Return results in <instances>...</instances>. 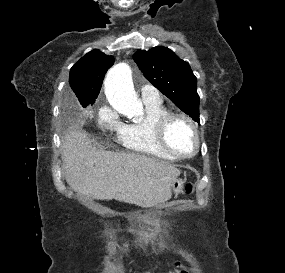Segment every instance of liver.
I'll return each mask as SVG.
<instances>
[{"label": "liver", "mask_w": 285, "mask_h": 273, "mask_svg": "<svg viewBox=\"0 0 285 273\" xmlns=\"http://www.w3.org/2000/svg\"><path fill=\"white\" fill-rule=\"evenodd\" d=\"M61 158L66 182L75 192L147 208L169 200L172 182L180 175L175 166L150 156L99 150L78 129L63 137Z\"/></svg>", "instance_id": "obj_1"}]
</instances>
